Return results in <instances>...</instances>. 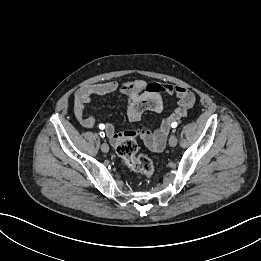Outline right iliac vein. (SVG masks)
Segmentation results:
<instances>
[{
    "instance_id": "right-iliac-vein-1",
    "label": "right iliac vein",
    "mask_w": 261,
    "mask_h": 261,
    "mask_svg": "<svg viewBox=\"0 0 261 261\" xmlns=\"http://www.w3.org/2000/svg\"><path fill=\"white\" fill-rule=\"evenodd\" d=\"M101 150L104 152V153H107L109 151V146L107 143H103L101 145Z\"/></svg>"
}]
</instances>
